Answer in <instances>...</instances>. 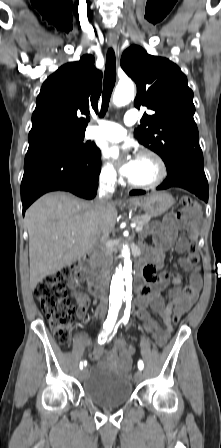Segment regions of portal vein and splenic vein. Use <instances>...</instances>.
Listing matches in <instances>:
<instances>
[{"mask_svg": "<svg viewBox=\"0 0 221 448\" xmlns=\"http://www.w3.org/2000/svg\"><path fill=\"white\" fill-rule=\"evenodd\" d=\"M134 227H135V231H137V232L142 230V227L139 225H134Z\"/></svg>", "mask_w": 221, "mask_h": 448, "instance_id": "18ae733b", "label": "portal vein and splenic vein"}]
</instances>
